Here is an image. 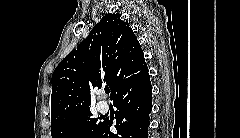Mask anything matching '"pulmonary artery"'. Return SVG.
Returning a JSON list of instances; mask_svg holds the SVG:
<instances>
[{
	"label": "pulmonary artery",
	"instance_id": "pulmonary-artery-1",
	"mask_svg": "<svg viewBox=\"0 0 240 138\" xmlns=\"http://www.w3.org/2000/svg\"><path fill=\"white\" fill-rule=\"evenodd\" d=\"M98 93L102 94V91L99 90ZM97 107L101 112H106L108 110V104L105 101L98 102Z\"/></svg>",
	"mask_w": 240,
	"mask_h": 138
}]
</instances>
